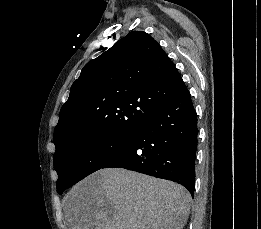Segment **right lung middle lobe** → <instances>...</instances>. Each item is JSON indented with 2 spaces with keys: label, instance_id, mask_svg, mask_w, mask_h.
<instances>
[{
  "label": "right lung middle lobe",
  "instance_id": "obj_1",
  "mask_svg": "<svg viewBox=\"0 0 261 229\" xmlns=\"http://www.w3.org/2000/svg\"><path fill=\"white\" fill-rule=\"evenodd\" d=\"M135 135L108 136L86 134L73 137L59 147L53 157L58 173L57 192L82 180L89 174L101 169L113 158L126 150Z\"/></svg>",
  "mask_w": 261,
  "mask_h": 229
}]
</instances>
